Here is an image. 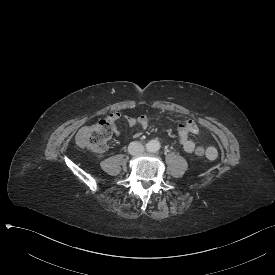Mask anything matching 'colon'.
Masks as SVG:
<instances>
[{"instance_id": "colon-1", "label": "colon", "mask_w": 275, "mask_h": 275, "mask_svg": "<svg viewBox=\"0 0 275 275\" xmlns=\"http://www.w3.org/2000/svg\"><path fill=\"white\" fill-rule=\"evenodd\" d=\"M116 115L109 113L105 121L98 122L96 124L87 125L79 130L76 135V145L80 149H86L89 151H102L105 149L108 139L115 128ZM142 119H127V124L141 123ZM196 155L203 156L206 153L204 147H198L195 150Z\"/></svg>"}]
</instances>
